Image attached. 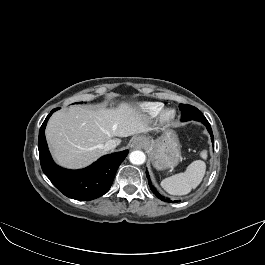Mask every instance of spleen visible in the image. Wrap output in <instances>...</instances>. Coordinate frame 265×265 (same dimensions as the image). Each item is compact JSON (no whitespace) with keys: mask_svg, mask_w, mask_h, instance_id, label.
Returning a JSON list of instances; mask_svg holds the SVG:
<instances>
[{"mask_svg":"<svg viewBox=\"0 0 265 265\" xmlns=\"http://www.w3.org/2000/svg\"><path fill=\"white\" fill-rule=\"evenodd\" d=\"M201 157L207 158V151L201 152ZM206 170L205 162L202 160L193 161L184 173H178L165 178L161 186L172 195H185L196 188L202 181Z\"/></svg>","mask_w":265,"mask_h":265,"instance_id":"obj_1","label":"spleen"}]
</instances>
